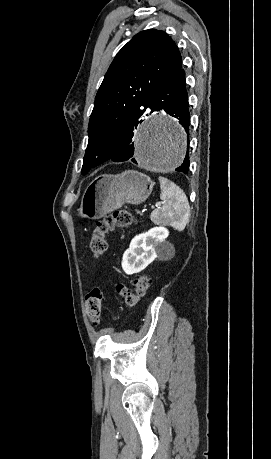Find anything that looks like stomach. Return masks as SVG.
<instances>
[{
  "mask_svg": "<svg viewBox=\"0 0 271 459\" xmlns=\"http://www.w3.org/2000/svg\"><path fill=\"white\" fill-rule=\"evenodd\" d=\"M152 188L151 178L135 170H126L117 176L102 174L86 188L77 214L81 218L99 220L124 204H142Z\"/></svg>",
  "mask_w": 271,
  "mask_h": 459,
  "instance_id": "obj_1",
  "label": "stomach"
}]
</instances>
